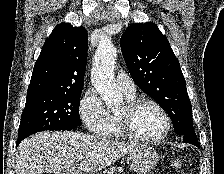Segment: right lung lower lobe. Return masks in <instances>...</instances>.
<instances>
[{"mask_svg": "<svg viewBox=\"0 0 224 174\" xmlns=\"http://www.w3.org/2000/svg\"><path fill=\"white\" fill-rule=\"evenodd\" d=\"M72 129H74V128H65L63 130H72ZM29 135H31V134H23L21 136H18L17 145Z\"/></svg>", "mask_w": 224, "mask_h": 174, "instance_id": "98d812e1", "label": "right lung lower lobe"}]
</instances>
